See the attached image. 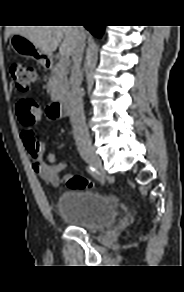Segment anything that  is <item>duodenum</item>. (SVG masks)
Returning a JSON list of instances; mask_svg holds the SVG:
<instances>
[{
    "instance_id": "410a0bca",
    "label": "duodenum",
    "mask_w": 184,
    "mask_h": 292,
    "mask_svg": "<svg viewBox=\"0 0 184 292\" xmlns=\"http://www.w3.org/2000/svg\"><path fill=\"white\" fill-rule=\"evenodd\" d=\"M70 113V101L67 97L55 100L49 107L51 117H65Z\"/></svg>"
}]
</instances>
